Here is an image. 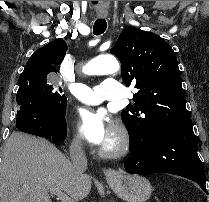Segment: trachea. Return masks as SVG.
<instances>
[{
  "mask_svg": "<svg viewBox=\"0 0 209 202\" xmlns=\"http://www.w3.org/2000/svg\"><path fill=\"white\" fill-rule=\"evenodd\" d=\"M106 28H107L106 20L103 18L97 19L93 26V33L95 35H100L105 32Z\"/></svg>",
  "mask_w": 209,
  "mask_h": 202,
  "instance_id": "obj_1",
  "label": "trachea"
}]
</instances>
